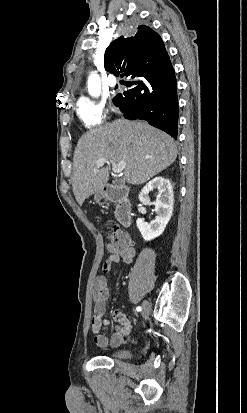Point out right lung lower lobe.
Wrapping results in <instances>:
<instances>
[{"label":"right lung lower lobe","mask_w":247,"mask_h":413,"mask_svg":"<svg viewBox=\"0 0 247 413\" xmlns=\"http://www.w3.org/2000/svg\"><path fill=\"white\" fill-rule=\"evenodd\" d=\"M132 77H136L133 83L137 86L118 94L115 106L125 118L146 120L177 139V85L170 59L153 71Z\"/></svg>","instance_id":"obj_1"}]
</instances>
